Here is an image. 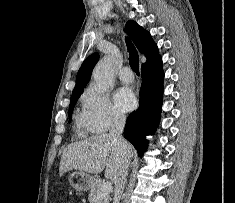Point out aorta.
I'll list each match as a JSON object with an SVG mask.
<instances>
[{
	"mask_svg": "<svg viewBox=\"0 0 235 203\" xmlns=\"http://www.w3.org/2000/svg\"><path fill=\"white\" fill-rule=\"evenodd\" d=\"M93 78L99 93H103L113 86V71L109 57H105L98 62L93 71Z\"/></svg>",
	"mask_w": 235,
	"mask_h": 203,
	"instance_id": "1",
	"label": "aorta"
}]
</instances>
